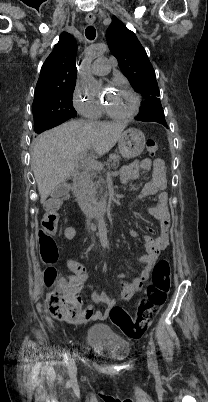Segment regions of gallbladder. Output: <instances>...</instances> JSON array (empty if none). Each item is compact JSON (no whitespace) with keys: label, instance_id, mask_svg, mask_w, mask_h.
Segmentation results:
<instances>
[{"label":"gallbladder","instance_id":"gallbladder-1","mask_svg":"<svg viewBox=\"0 0 208 402\" xmlns=\"http://www.w3.org/2000/svg\"><path fill=\"white\" fill-rule=\"evenodd\" d=\"M70 184L68 181H61L59 186H56L54 190L51 191L50 196L52 199H59L61 195H65L69 189Z\"/></svg>","mask_w":208,"mask_h":402}]
</instances>
